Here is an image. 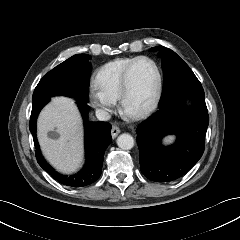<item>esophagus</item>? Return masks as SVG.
<instances>
[{"instance_id": "obj_1", "label": "esophagus", "mask_w": 240, "mask_h": 240, "mask_svg": "<svg viewBox=\"0 0 240 240\" xmlns=\"http://www.w3.org/2000/svg\"><path fill=\"white\" fill-rule=\"evenodd\" d=\"M119 133H120V129L117 126L113 125L111 129L112 138L113 139L116 138Z\"/></svg>"}]
</instances>
